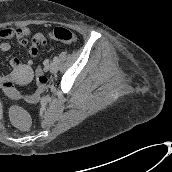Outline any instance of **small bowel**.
<instances>
[{"instance_id":"obj_1","label":"small bowel","mask_w":172,"mask_h":172,"mask_svg":"<svg viewBox=\"0 0 172 172\" xmlns=\"http://www.w3.org/2000/svg\"><path fill=\"white\" fill-rule=\"evenodd\" d=\"M33 29L31 27H18V28H1L0 29V50L1 51H8L11 48V44L8 40H16L17 42L21 43L22 45H26L28 43L27 37L31 35ZM47 40L43 34L37 33L31 39V45L28 50V55L31 58H34L38 54V46H46ZM10 65L16 72H19L23 69L24 66L28 67L31 65L32 61L29 59L23 65L22 61L17 58L13 57L10 59Z\"/></svg>"}]
</instances>
